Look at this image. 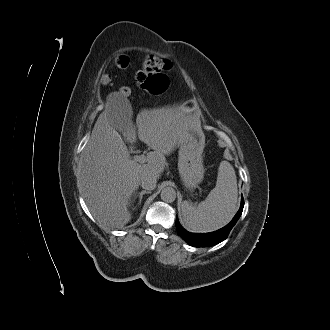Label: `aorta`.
Segmentation results:
<instances>
[{
  "mask_svg": "<svg viewBox=\"0 0 330 330\" xmlns=\"http://www.w3.org/2000/svg\"><path fill=\"white\" fill-rule=\"evenodd\" d=\"M160 195L161 199L167 203H172L176 199V191L172 187L163 188Z\"/></svg>",
  "mask_w": 330,
  "mask_h": 330,
  "instance_id": "1",
  "label": "aorta"
}]
</instances>
